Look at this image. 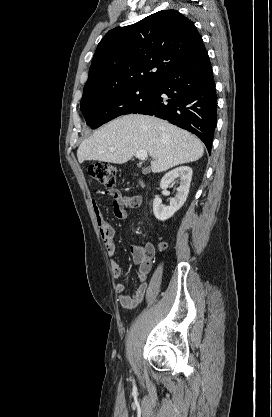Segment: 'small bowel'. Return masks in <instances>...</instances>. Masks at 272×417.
Segmentation results:
<instances>
[{
    "mask_svg": "<svg viewBox=\"0 0 272 417\" xmlns=\"http://www.w3.org/2000/svg\"><path fill=\"white\" fill-rule=\"evenodd\" d=\"M97 194L107 195L113 198V212L117 219L126 218L128 209H136L140 207L142 203L141 196H124L116 188L97 190ZM92 207L102 241L105 245L108 255L112 257L116 253V244L114 242L116 229L103 218L102 210L96 199H92ZM154 253L155 250L150 244H147L146 246L135 244L131 247L133 262L138 265V286L135 292L131 295L126 294V286L119 282V279L122 275L120 264L116 260H111V271L115 280L114 290L118 294V303L123 308H134L143 300L147 291V281L152 269Z\"/></svg>",
    "mask_w": 272,
    "mask_h": 417,
    "instance_id": "obj_1",
    "label": "small bowel"
}]
</instances>
